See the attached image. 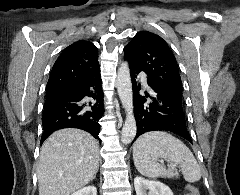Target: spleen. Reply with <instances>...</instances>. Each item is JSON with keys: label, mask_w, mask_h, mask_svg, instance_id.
Segmentation results:
<instances>
[{"label": "spleen", "mask_w": 240, "mask_h": 195, "mask_svg": "<svg viewBox=\"0 0 240 195\" xmlns=\"http://www.w3.org/2000/svg\"><path fill=\"white\" fill-rule=\"evenodd\" d=\"M180 163L186 181H199L202 171L189 147L167 131H147L133 145V161L136 169L146 177H165L167 171L157 159Z\"/></svg>", "instance_id": "3e777b00"}]
</instances>
